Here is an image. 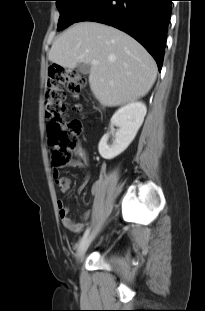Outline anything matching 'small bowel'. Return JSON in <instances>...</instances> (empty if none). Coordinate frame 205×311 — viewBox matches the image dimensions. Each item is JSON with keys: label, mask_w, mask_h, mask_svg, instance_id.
<instances>
[{"label": "small bowel", "mask_w": 205, "mask_h": 311, "mask_svg": "<svg viewBox=\"0 0 205 311\" xmlns=\"http://www.w3.org/2000/svg\"><path fill=\"white\" fill-rule=\"evenodd\" d=\"M74 157L75 158L68 163L69 167L85 169L88 166V155L83 146H79L74 151ZM53 175L60 192L68 194L70 192V180L67 177L60 176L58 170H54ZM88 180L89 175H86L85 183H87ZM101 180L102 178L92 186V194L98 192ZM57 206L62 225L73 233L81 232L86 225V220L88 219L90 212L87 211L80 220H73L69 217V208L64 200L59 199L57 201Z\"/></svg>", "instance_id": "obj_1"}]
</instances>
